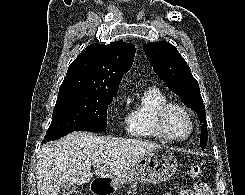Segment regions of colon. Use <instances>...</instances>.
I'll return each instance as SVG.
<instances>
[{
    "mask_svg": "<svg viewBox=\"0 0 245 195\" xmlns=\"http://www.w3.org/2000/svg\"><path fill=\"white\" fill-rule=\"evenodd\" d=\"M199 167H191L189 169V174L191 176H197L199 174ZM213 195V192L211 191V189L209 188L208 184L205 182H198L193 186V189L191 191H186L183 192V195ZM76 195V194H73Z\"/></svg>",
    "mask_w": 245,
    "mask_h": 195,
    "instance_id": "colon-1",
    "label": "colon"
}]
</instances>
